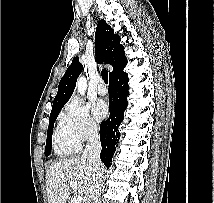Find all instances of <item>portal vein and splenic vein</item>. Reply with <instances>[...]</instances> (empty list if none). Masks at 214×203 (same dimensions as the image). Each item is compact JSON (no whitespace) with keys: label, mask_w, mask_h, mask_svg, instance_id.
I'll return each mask as SVG.
<instances>
[{"label":"portal vein and splenic vein","mask_w":214,"mask_h":203,"mask_svg":"<svg viewBox=\"0 0 214 203\" xmlns=\"http://www.w3.org/2000/svg\"><path fill=\"white\" fill-rule=\"evenodd\" d=\"M70 187L73 188V189H77V183L75 182H70L69 183ZM82 201V196L80 195H76L74 196V198L72 199L71 203H81Z\"/></svg>","instance_id":"18ae733b"}]
</instances>
